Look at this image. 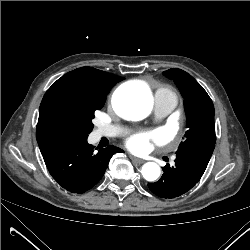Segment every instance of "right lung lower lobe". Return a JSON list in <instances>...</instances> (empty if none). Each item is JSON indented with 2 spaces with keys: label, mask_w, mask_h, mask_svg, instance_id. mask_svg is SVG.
Listing matches in <instances>:
<instances>
[{
  "label": "right lung lower lobe",
  "mask_w": 250,
  "mask_h": 250,
  "mask_svg": "<svg viewBox=\"0 0 250 250\" xmlns=\"http://www.w3.org/2000/svg\"><path fill=\"white\" fill-rule=\"evenodd\" d=\"M87 138L69 134L38 143L50 174L72 193L81 194L94 187L104 175L111 157L123 152L113 145L94 152Z\"/></svg>",
  "instance_id": "right-lung-lower-lobe-1"
}]
</instances>
